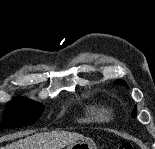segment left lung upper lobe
<instances>
[{
	"label": "left lung upper lobe",
	"mask_w": 155,
	"mask_h": 149,
	"mask_svg": "<svg viewBox=\"0 0 155 149\" xmlns=\"http://www.w3.org/2000/svg\"><path fill=\"white\" fill-rule=\"evenodd\" d=\"M123 84V85H126V83H125V81L124 80H117L116 82H115V84ZM132 117L133 118H135L136 117V107L134 108V111L132 112Z\"/></svg>",
	"instance_id": "1"
}]
</instances>
